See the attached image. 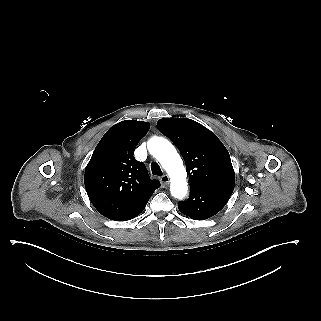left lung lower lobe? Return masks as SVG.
<instances>
[{
	"instance_id": "obj_1",
	"label": "left lung lower lobe",
	"mask_w": 321,
	"mask_h": 321,
	"mask_svg": "<svg viewBox=\"0 0 321 321\" xmlns=\"http://www.w3.org/2000/svg\"><path fill=\"white\" fill-rule=\"evenodd\" d=\"M234 185L214 184L191 187L190 197L178 203L179 210L194 220H204L217 214L227 203Z\"/></svg>"
}]
</instances>
